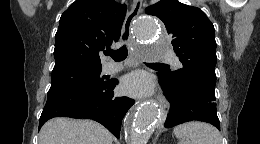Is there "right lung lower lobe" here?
<instances>
[{"instance_id":"right-lung-lower-lobe-1","label":"right lung lower lobe","mask_w":260,"mask_h":144,"mask_svg":"<svg viewBox=\"0 0 260 144\" xmlns=\"http://www.w3.org/2000/svg\"><path fill=\"white\" fill-rule=\"evenodd\" d=\"M117 83L109 80L99 88L69 87L49 91L39 129L54 117L87 118L101 123L119 138L122 119L134 100L114 96L113 89Z\"/></svg>"}]
</instances>
